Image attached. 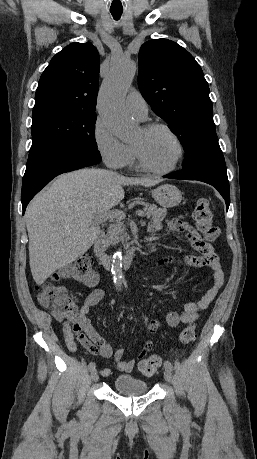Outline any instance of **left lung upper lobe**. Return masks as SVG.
<instances>
[{"label": "left lung upper lobe", "mask_w": 257, "mask_h": 459, "mask_svg": "<svg viewBox=\"0 0 257 459\" xmlns=\"http://www.w3.org/2000/svg\"><path fill=\"white\" fill-rule=\"evenodd\" d=\"M138 86L183 145V167L197 166L208 140L217 139L209 86L200 65L173 41H148L139 51Z\"/></svg>", "instance_id": "left-lung-upper-lobe-1"}]
</instances>
